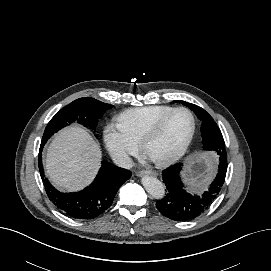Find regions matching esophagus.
Wrapping results in <instances>:
<instances>
[{
  "label": "esophagus",
  "mask_w": 271,
  "mask_h": 271,
  "mask_svg": "<svg viewBox=\"0 0 271 271\" xmlns=\"http://www.w3.org/2000/svg\"><path fill=\"white\" fill-rule=\"evenodd\" d=\"M137 174L139 176H145V175L157 176L158 175V173L156 171H152V170H141V171L137 172Z\"/></svg>",
  "instance_id": "obj_1"
}]
</instances>
